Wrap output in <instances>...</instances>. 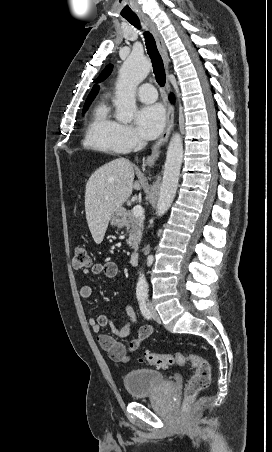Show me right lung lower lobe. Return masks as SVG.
<instances>
[{
    "mask_svg": "<svg viewBox=\"0 0 272 452\" xmlns=\"http://www.w3.org/2000/svg\"><path fill=\"white\" fill-rule=\"evenodd\" d=\"M170 99L173 100V97L171 96Z\"/></svg>",
    "mask_w": 272,
    "mask_h": 452,
    "instance_id": "obj_1",
    "label": "right lung lower lobe"
}]
</instances>
